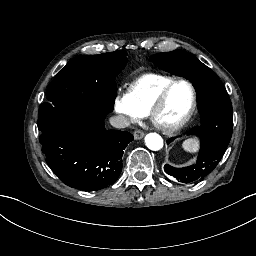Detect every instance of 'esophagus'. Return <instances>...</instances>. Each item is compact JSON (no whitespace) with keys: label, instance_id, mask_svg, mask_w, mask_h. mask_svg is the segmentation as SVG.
I'll list each match as a JSON object with an SVG mask.
<instances>
[{"label":"esophagus","instance_id":"34e87169","mask_svg":"<svg viewBox=\"0 0 256 256\" xmlns=\"http://www.w3.org/2000/svg\"><path fill=\"white\" fill-rule=\"evenodd\" d=\"M133 135L136 140H139L144 137L145 133L141 130H136L134 131Z\"/></svg>","mask_w":256,"mask_h":256}]
</instances>
